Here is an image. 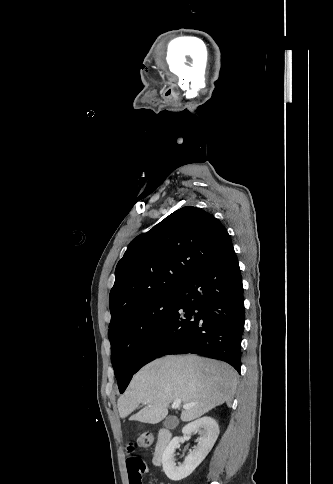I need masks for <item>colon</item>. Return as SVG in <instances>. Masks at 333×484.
Listing matches in <instances>:
<instances>
[{
	"mask_svg": "<svg viewBox=\"0 0 333 484\" xmlns=\"http://www.w3.org/2000/svg\"><path fill=\"white\" fill-rule=\"evenodd\" d=\"M154 442V436L150 432L142 433L137 440L138 446L142 448L150 447Z\"/></svg>",
	"mask_w": 333,
	"mask_h": 484,
	"instance_id": "5ec220e1",
	"label": "colon"
}]
</instances>
